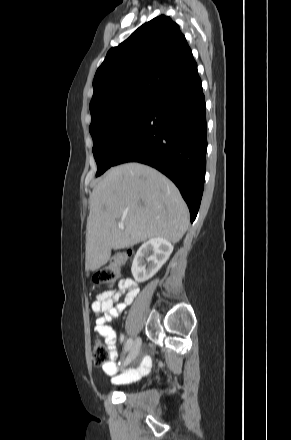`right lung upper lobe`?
Listing matches in <instances>:
<instances>
[{"mask_svg": "<svg viewBox=\"0 0 291 440\" xmlns=\"http://www.w3.org/2000/svg\"><path fill=\"white\" fill-rule=\"evenodd\" d=\"M196 68L178 24L160 15L108 51L93 80L90 111L105 103L155 96Z\"/></svg>", "mask_w": 291, "mask_h": 440, "instance_id": "1", "label": "right lung upper lobe"}]
</instances>
